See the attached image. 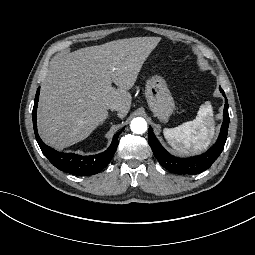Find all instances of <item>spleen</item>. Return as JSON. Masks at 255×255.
Returning a JSON list of instances; mask_svg holds the SVG:
<instances>
[{
  "label": "spleen",
  "instance_id": "1",
  "mask_svg": "<svg viewBox=\"0 0 255 255\" xmlns=\"http://www.w3.org/2000/svg\"><path fill=\"white\" fill-rule=\"evenodd\" d=\"M168 143L178 152L192 150L198 153L208 146L210 135L214 134L213 109L210 102L200 106L195 120L185 122L175 128H164Z\"/></svg>",
  "mask_w": 255,
  "mask_h": 255
}]
</instances>
